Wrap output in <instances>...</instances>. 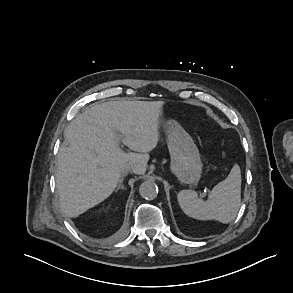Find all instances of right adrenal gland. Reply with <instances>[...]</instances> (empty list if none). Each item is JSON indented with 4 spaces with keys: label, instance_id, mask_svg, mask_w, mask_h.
Segmentation results:
<instances>
[{
    "label": "right adrenal gland",
    "instance_id": "obj_1",
    "mask_svg": "<svg viewBox=\"0 0 293 293\" xmlns=\"http://www.w3.org/2000/svg\"><path fill=\"white\" fill-rule=\"evenodd\" d=\"M126 176V174H123L120 178V181H119V184L115 190V192H117L119 189H124V185H123V180H124V177Z\"/></svg>",
    "mask_w": 293,
    "mask_h": 293
}]
</instances>
